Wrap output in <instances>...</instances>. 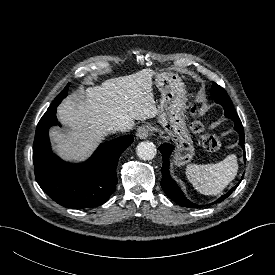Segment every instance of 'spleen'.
<instances>
[{"instance_id": "1", "label": "spleen", "mask_w": 275, "mask_h": 275, "mask_svg": "<svg viewBox=\"0 0 275 275\" xmlns=\"http://www.w3.org/2000/svg\"><path fill=\"white\" fill-rule=\"evenodd\" d=\"M238 172L237 157L228 155L216 164H190L186 176L193 187L201 194L215 196L220 194L234 180Z\"/></svg>"}]
</instances>
